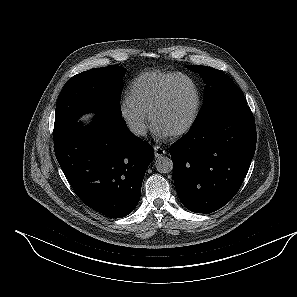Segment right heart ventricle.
I'll return each instance as SVG.
<instances>
[{"label":"right heart ventricle","instance_id":"obj_1","mask_svg":"<svg viewBox=\"0 0 297 297\" xmlns=\"http://www.w3.org/2000/svg\"><path fill=\"white\" fill-rule=\"evenodd\" d=\"M179 73L152 70L137 76L129 87V98L145 114L160 97L166 85Z\"/></svg>","mask_w":297,"mask_h":297}]
</instances>
